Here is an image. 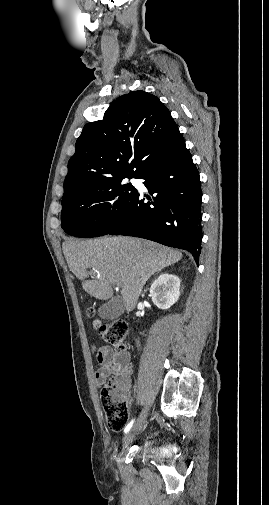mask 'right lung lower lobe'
I'll list each match as a JSON object with an SVG mask.
<instances>
[{
    "label": "right lung lower lobe",
    "instance_id": "98d812e1",
    "mask_svg": "<svg viewBox=\"0 0 269 505\" xmlns=\"http://www.w3.org/2000/svg\"><path fill=\"white\" fill-rule=\"evenodd\" d=\"M154 197L137 193L108 233L149 239L187 250L198 264L201 253V182L185 143L159 158L138 177Z\"/></svg>",
    "mask_w": 269,
    "mask_h": 505
}]
</instances>
